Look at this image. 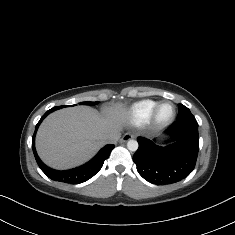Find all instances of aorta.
I'll return each mask as SVG.
<instances>
[{
  "mask_svg": "<svg viewBox=\"0 0 235 235\" xmlns=\"http://www.w3.org/2000/svg\"><path fill=\"white\" fill-rule=\"evenodd\" d=\"M138 147H139V145H138V142L136 140L130 139L127 142V148L130 151H136L138 149Z\"/></svg>",
  "mask_w": 235,
  "mask_h": 235,
  "instance_id": "obj_1",
  "label": "aorta"
}]
</instances>
